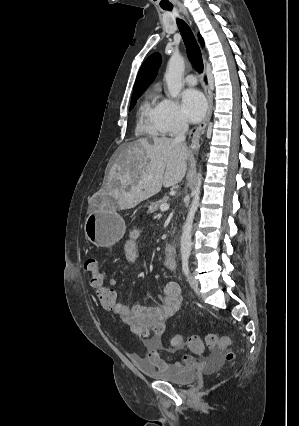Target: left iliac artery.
Wrapping results in <instances>:
<instances>
[{"mask_svg":"<svg viewBox=\"0 0 299 426\" xmlns=\"http://www.w3.org/2000/svg\"><path fill=\"white\" fill-rule=\"evenodd\" d=\"M182 269L186 276H189V266L187 261L182 262Z\"/></svg>","mask_w":299,"mask_h":426,"instance_id":"left-iliac-artery-1","label":"left iliac artery"}]
</instances>
